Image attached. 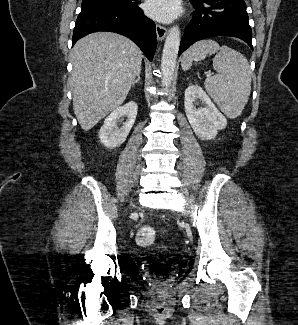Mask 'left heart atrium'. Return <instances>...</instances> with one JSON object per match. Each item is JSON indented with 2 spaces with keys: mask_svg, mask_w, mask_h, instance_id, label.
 I'll list each match as a JSON object with an SVG mask.
<instances>
[{
  "mask_svg": "<svg viewBox=\"0 0 298 325\" xmlns=\"http://www.w3.org/2000/svg\"><path fill=\"white\" fill-rule=\"evenodd\" d=\"M146 12L156 20L168 22L180 13V7L177 0H149Z\"/></svg>",
  "mask_w": 298,
  "mask_h": 325,
  "instance_id": "obj_1",
  "label": "left heart atrium"
}]
</instances>
